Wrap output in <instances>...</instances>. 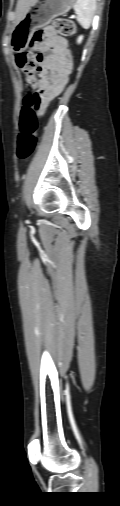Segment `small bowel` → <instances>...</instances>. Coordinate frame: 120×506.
<instances>
[{"mask_svg": "<svg viewBox=\"0 0 120 506\" xmlns=\"http://www.w3.org/2000/svg\"><path fill=\"white\" fill-rule=\"evenodd\" d=\"M42 51L38 56L39 71L42 78L39 82L42 102L40 112L64 90L73 60L67 44L63 38L52 28H46ZM51 72L52 77L47 78L46 73Z\"/></svg>", "mask_w": 120, "mask_h": 506, "instance_id": "small-bowel-1", "label": "small bowel"}]
</instances>
